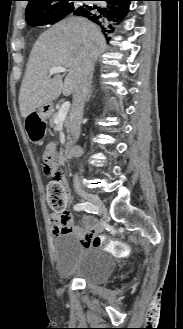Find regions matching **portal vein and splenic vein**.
<instances>
[{"label": "portal vein and splenic vein", "mask_w": 183, "mask_h": 329, "mask_svg": "<svg viewBox=\"0 0 183 329\" xmlns=\"http://www.w3.org/2000/svg\"><path fill=\"white\" fill-rule=\"evenodd\" d=\"M65 71H67V67H63V66L53 67L49 70V75H53L55 73H60ZM69 108H70V102L66 101L62 104L61 108L59 109L58 115L54 120L55 124L63 123L64 119L67 116Z\"/></svg>", "instance_id": "portal-vein-and-splenic-vein-1"}]
</instances>
